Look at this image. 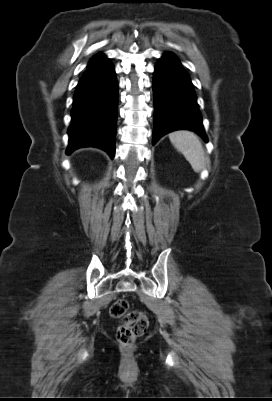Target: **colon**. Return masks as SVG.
<instances>
[{
	"mask_svg": "<svg viewBox=\"0 0 272 401\" xmlns=\"http://www.w3.org/2000/svg\"><path fill=\"white\" fill-rule=\"evenodd\" d=\"M110 315L123 319L122 325L118 328L117 338L124 349H129L148 328L146 314L140 310H130L129 303L124 298H119L112 303Z\"/></svg>",
	"mask_w": 272,
	"mask_h": 401,
	"instance_id": "5ec220e1",
	"label": "colon"
}]
</instances>
